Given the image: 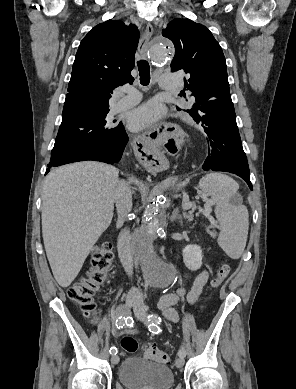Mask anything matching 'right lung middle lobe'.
Segmentation results:
<instances>
[{
    "label": "right lung middle lobe",
    "mask_w": 296,
    "mask_h": 389,
    "mask_svg": "<svg viewBox=\"0 0 296 389\" xmlns=\"http://www.w3.org/2000/svg\"><path fill=\"white\" fill-rule=\"evenodd\" d=\"M108 112L76 113L62 117L51 156L119 139L124 127L121 124L113 127L106 119Z\"/></svg>",
    "instance_id": "right-lung-middle-lobe-1"
}]
</instances>
